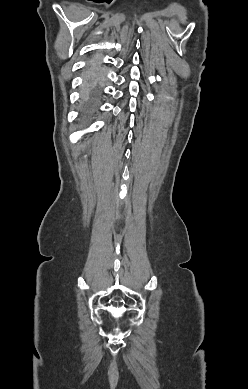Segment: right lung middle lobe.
<instances>
[{"label": "right lung middle lobe", "mask_w": 248, "mask_h": 389, "mask_svg": "<svg viewBox=\"0 0 248 389\" xmlns=\"http://www.w3.org/2000/svg\"><path fill=\"white\" fill-rule=\"evenodd\" d=\"M104 79V72L96 66L88 70L85 77V85L83 91L84 112L86 115L93 113L101 95V83Z\"/></svg>", "instance_id": "right-lung-middle-lobe-1"}]
</instances>
